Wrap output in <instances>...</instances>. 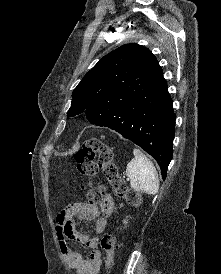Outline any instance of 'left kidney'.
Returning a JSON list of instances; mask_svg holds the SVG:
<instances>
[{"label": "left kidney", "mask_w": 221, "mask_h": 274, "mask_svg": "<svg viewBox=\"0 0 221 274\" xmlns=\"http://www.w3.org/2000/svg\"><path fill=\"white\" fill-rule=\"evenodd\" d=\"M124 223L127 224V221L124 220Z\"/></svg>", "instance_id": "obj_1"}]
</instances>
